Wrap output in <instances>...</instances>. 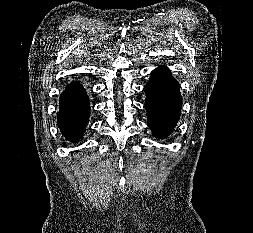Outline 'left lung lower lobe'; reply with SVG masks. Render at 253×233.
Instances as JSON below:
<instances>
[{
    "label": "left lung lower lobe",
    "instance_id": "left-lung-lower-lobe-1",
    "mask_svg": "<svg viewBox=\"0 0 253 233\" xmlns=\"http://www.w3.org/2000/svg\"><path fill=\"white\" fill-rule=\"evenodd\" d=\"M144 91L147 125L156 137L163 138L170 134L180 118L182 97L179 83L171 76L169 69L160 66L152 71Z\"/></svg>",
    "mask_w": 253,
    "mask_h": 233
}]
</instances>
